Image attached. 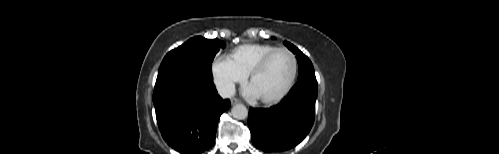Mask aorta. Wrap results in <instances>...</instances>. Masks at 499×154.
I'll return each mask as SVG.
<instances>
[{
    "mask_svg": "<svg viewBox=\"0 0 499 154\" xmlns=\"http://www.w3.org/2000/svg\"><path fill=\"white\" fill-rule=\"evenodd\" d=\"M231 114L234 118L242 120L247 118L248 109L243 104H236L232 107Z\"/></svg>",
    "mask_w": 499,
    "mask_h": 154,
    "instance_id": "1",
    "label": "aorta"
}]
</instances>
